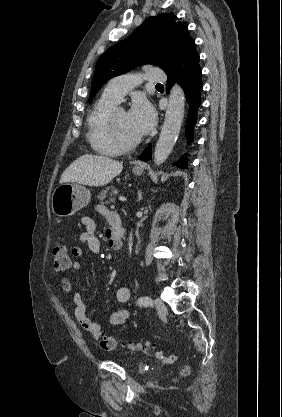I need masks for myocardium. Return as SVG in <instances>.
I'll return each instance as SVG.
<instances>
[{"instance_id":"myocardium-1","label":"myocardium","mask_w":282,"mask_h":417,"mask_svg":"<svg viewBox=\"0 0 282 417\" xmlns=\"http://www.w3.org/2000/svg\"><path fill=\"white\" fill-rule=\"evenodd\" d=\"M120 111H124L122 107H115L110 111V113L107 116V122L110 127V137L112 143L118 149H131L136 147L141 142V137H137L132 141H126L120 136L116 126V116Z\"/></svg>"}]
</instances>
